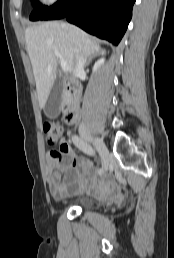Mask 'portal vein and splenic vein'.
Masks as SVG:
<instances>
[{
  "instance_id": "obj_1",
  "label": "portal vein and splenic vein",
  "mask_w": 174,
  "mask_h": 258,
  "mask_svg": "<svg viewBox=\"0 0 174 258\" xmlns=\"http://www.w3.org/2000/svg\"><path fill=\"white\" fill-rule=\"evenodd\" d=\"M55 55L60 60L62 70L64 72H68V70H69L68 63L62 58V56L58 52H55Z\"/></svg>"
}]
</instances>
